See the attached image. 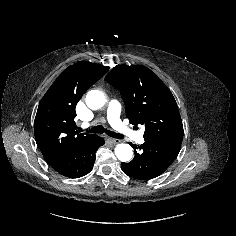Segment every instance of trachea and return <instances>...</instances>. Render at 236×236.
Returning <instances> with one entry per match:
<instances>
[{"instance_id": "trachea-1", "label": "trachea", "mask_w": 236, "mask_h": 236, "mask_svg": "<svg viewBox=\"0 0 236 236\" xmlns=\"http://www.w3.org/2000/svg\"><path fill=\"white\" fill-rule=\"evenodd\" d=\"M86 132L88 133H94V134H102V133H106L108 136L116 138V139H123L124 136L119 134V133H115L113 131H110L106 128H104L102 125H97L89 130H87Z\"/></svg>"}]
</instances>
